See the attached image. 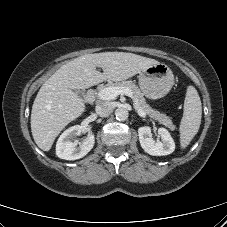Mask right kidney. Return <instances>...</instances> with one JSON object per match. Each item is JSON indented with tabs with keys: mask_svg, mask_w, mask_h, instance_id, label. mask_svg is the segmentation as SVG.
<instances>
[{
	"mask_svg": "<svg viewBox=\"0 0 227 227\" xmlns=\"http://www.w3.org/2000/svg\"><path fill=\"white\" fill-rule=\"evenodd\" d=\"M82 133V127L75 125L64 131L56 144V155L65 160H76L84 157L93 148L95 138L92 133L80 143H77L75 137ZM79 144V146H77Z\"/></svg>",
	"mask_w": 227,
	"mask_h": 227,
	"instance_id": "right-kidney-1",
	"label": "right kidney"
}]
</instances>
